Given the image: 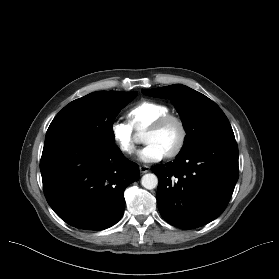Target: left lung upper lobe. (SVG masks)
<instances>
[{"label": "left lung upper lobe", "mask_w": 279, "mask_h": 279, "mask_svg": "<svg viewBox=\"0 0 279 279\" xmlns=\"http://www.w3.org/2000/svg\"><path fill=\"white\" fill-rule=\"evenodd\" d=\"M145 95L168 98L179 112L186 131L179 154L215 139H235L231 125L220 107L205 95L185 85L142 90Z\"/></svg>", "instance_id": "left-lung-upper-lobe-1"}]
</instances>
